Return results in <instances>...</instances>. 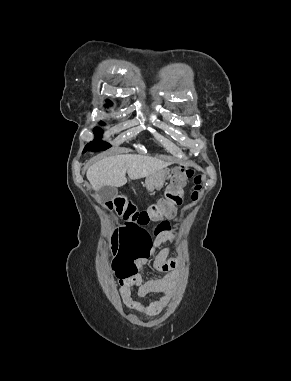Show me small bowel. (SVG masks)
<instances>
[{
    "mask_svg": "<svg viewBox=\"0 0 291 381\" xmlns=\"http://www.w3.org/2000/svg\"><path fill=\"white\" fill-rule=\"evenodd\" d=\"M174 240L175 235L168 222L157 226L153 240H150L147 233L140 240L142 253L136 259L137 265L142 268L147 258L152 257L155 271L162 275L151 276L145 280L138 273L129 277H120L118 279L119 293L125 306L147 314H157L167 306L178 280L177 269L180 266V260L170 257L169 248L160 251H156V249L160 245ZM151 292L158 293L159 298L149 304H144L139 300Z\"/></svg>",
    "mask_w": 291,
    "mask_h": 381,
    "instance_id": "1",
    "label": "small bowel"
}]
</instances>
